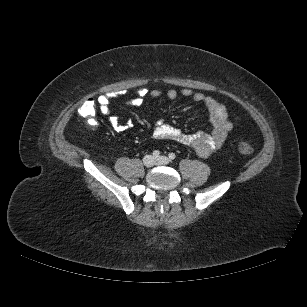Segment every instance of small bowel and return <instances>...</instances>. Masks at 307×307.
Masks as SVG:
<instances>
[{
	"label": "small bowel",
	"mask_w": 307,
	"mask_h": 307,
	"mask_svg": "<svg viewBox=\"0 0 307 307\" xmlns=\"http://www.w3.org/2000/svg\"><path fill=\"white\" fill-rule=\"evenodd\" d=\"M166 96L170 100L178 97V92L174 89L163 93L160 90H147L141 88L136 91L135 96L129 100V104L134 107L143 105L145 98H160ZM181 95L185 98H191L197 107L206 111L212 130L209 133L199 132L195 134H184L178 128L166 123L163 119L158 120L153 129V137L158 140H172L182 145L188 146L201 157H208L219 150L224 144L228 134L233 129V124L228 118V113L224 105L215 99L205 96L200 92H194L185 88L181 91ZM111 94H101L97 97L96 102L100 112L108 116L111 127L116 132H124L132 127L130 121L120 123L118 118L111 115L110 102Z\"/></svg>",
	"instance_id": "obj_1"
}]
</instances>
